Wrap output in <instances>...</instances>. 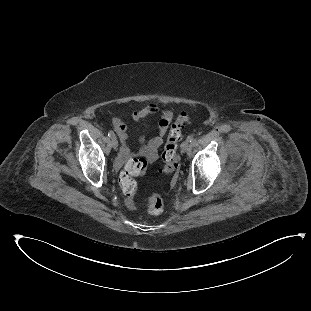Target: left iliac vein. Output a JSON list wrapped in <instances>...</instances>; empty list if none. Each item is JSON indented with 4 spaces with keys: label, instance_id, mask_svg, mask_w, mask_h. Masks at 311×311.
<instances>
[{
    "label": "left iliac vein",
    "instance_id": "1",
    "mask_svg": "<svg viewBox=\"0 0 311 311\" xmlns=\"http://www.w3.org/2000/svg\"><path fill=\"white\" fill-rule=\"evenodd\" d=\"M189 147H190L189 146V142L187 140L182 142V144H181V152L182 153L187 152L189 150Z\"/></svg>",
    "mask_w": 311,
    "mask_h": 311
}]
</instances>
